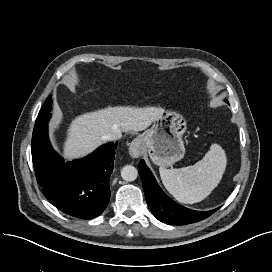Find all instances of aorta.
<instances>
[{
    "label": "aorta",
    "mask_w": 272,
    "mask_h": 272,
    "mask_svg": "<svg viewBox=\"0 0 272 272\" xmlns=\"http://www.w3.org/2000/svg\"><path fill=\"white\" fill-rule=\"evenodd\" d=\"M138 176L137 169L132 165H126L121 169V177L125 181H134Z\"/></svg>",
    "instance_id": "762f6f07"
}]
</instances>
